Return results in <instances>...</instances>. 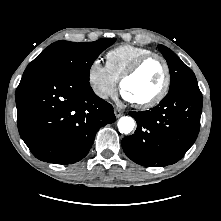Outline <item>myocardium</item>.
Returning a JSON list of instances; mask_svg holds the SVG:
<instances>
[{
  "label": "myocardium",
  "mask_w": 221,
  "mask_h": 221,
  "mask_svg": "<svg viewBox=\"0 0 221 221\" xmlns=\"http://www.w3.org/2000/svg\"><path fill=\"white\" fill-rule=\"evenodd\" d=\"M151 59H158L162 63L165 71V78L161 89L156 95L146 101L134 102L135 106L140 109L152 108L158 105L168 94L171 85V69L167 59L163 55L154 52L143 55L137 59L120 78V87L123 90L125 81L133 77Z\"/></svg>",
  "instance_id": "1"
}]
</instances>
